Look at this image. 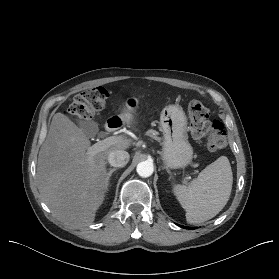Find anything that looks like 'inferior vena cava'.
Here are the masks:
<instances>
[{"mask_svg": "<svg viewBox=\"0 0 279 279\" xmlns=\"http://www.w3.org/2000/svg\"><path fill=\"white\" fill-rule=\"evenodd\" d=\"M130 155L125 150H113L108 155V162L113 167H124L129 161Z\"/></svg>", "mask_w": 279, "mask_h": 279, "instance_id": "1", "label": "inferior vena cava"}]
</instances>
